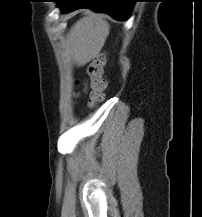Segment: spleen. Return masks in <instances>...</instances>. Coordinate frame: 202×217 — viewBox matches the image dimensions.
Returning <instances> with one entry per match:
<instances>
[{"label": "spleen", "mask_w": 202, "mask_h": 217, "mask_svg": "<svg viewBox=\"0 0 202 217\" xmlns=\"http://www.w3.org/2000/svg\"><path fill=\"white\" fill-rule=\"evenodd\" d=\"M109 34V24L99 14L83 17L71 28L67 43L77 58H89L99 52Z\"/></svg>", "instance_id": "1"}]
</instances>
